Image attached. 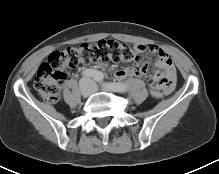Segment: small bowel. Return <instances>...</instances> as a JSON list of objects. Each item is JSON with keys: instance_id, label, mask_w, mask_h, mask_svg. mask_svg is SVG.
Returning a JSON list of instances; mask_svg holds the SVG:
<instances>
[{"instance_id": "small-bowel-1", "label": "small bowel", "mask_w": 219, "mask_h": 174, "mask_svg": "<svg viewBox=\"0 0 219 174\" xmlns=\"http://www.w3.org/2000/svg\"><path fill=\"white\" fill-rule=\"evenodd\" d=\"M135 49L139 51H149L158 55L156 65L163 71L159 70L154 74V81L149 83V88L151 90H162L165 94H170L175 86L176 70L168 54L156 45L139 44L135 46ZM99 66L104 67L105 64L101 63ZM145 72L146 65L140 67H128L118 70L115 76L117 79H125L132 76H141Z\"/></svg>"}]
</instances>
